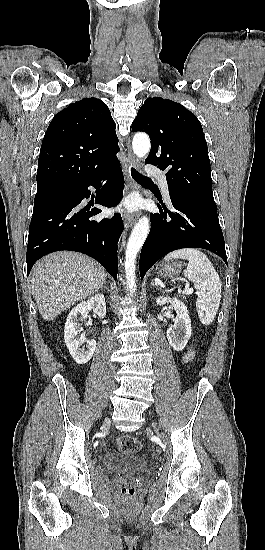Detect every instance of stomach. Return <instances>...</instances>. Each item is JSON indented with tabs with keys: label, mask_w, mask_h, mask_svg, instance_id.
<instances>
[{
	"label": "stomach",
	"mask_w": 265,
	"mask_h": 550,
	"mask_svg": "<svg viewBox=\"0 0 265 550\" xmlns=\"http://www.w3.org/2000/svg\"><path fill=\"white\" fill-rule=\"evenodd\" d=\"M181 270V265L176 262H165L161 263L157 268L156 272L158 275L163 277H173Z\"/></svg>",
	"instance_id": "obj_1"
}]
</instances>
